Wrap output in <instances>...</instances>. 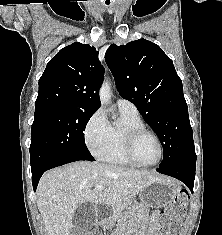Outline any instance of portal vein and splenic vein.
Wrapping results in <instances>:
<instances>
[{"mask_svg": "<svg viewBox=\"0 0 222 235\" xmlns=\"http://www.w3.org/2000/svg\"><path fill=\"white\" fill-rule=\"evenodd\" d=\"M105 188V186H96L95 187V191H100V190H103Z\"/></svg>", "mask_w": 222, "mask_h": 235, "instance_id": "obj_1", "label": "portal vein and splenic vein"}]
</instances>
